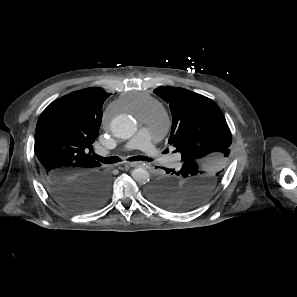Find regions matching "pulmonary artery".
Listing matches in <instances>:
<instances>
[{
    "label": "pulmonary artery",
    "instance_id": "1",
    "mask_svg": "<svg viewBox=\"0 0 297 297\" xmlns=\"http://www.w3.org/2000/svg\"><path fill=\"white\" fill-rule=\"evenodd\" d=\"M167 122V119L164 122L156 119H148L137 135L128 142L126 149H139L148 156L157 158L159 156V150L153 143V139L166 128ZM176 160V157L172 159V161Z\"/></svg>",
    "mask_w": 297,
    "mask_h": 297
}]
</instances>
